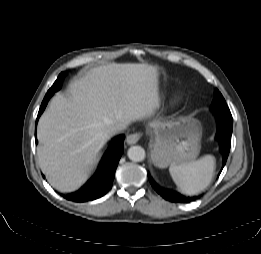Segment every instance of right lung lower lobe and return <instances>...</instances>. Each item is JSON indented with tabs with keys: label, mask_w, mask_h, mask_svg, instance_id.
Here are the masks:
<instances>
[{
	"label": "right lung lower lobe",
	"mask_w": 261,
	"mask_h": 254,
	"mask_svg": "<svg viewBox=\"0 0 261 254\" xmlns=\"http://www.w3.org/2000/svg\"><path fill=\"white\" fill-rule=\"evenodd\" d=\"M65 73L62 72L55 83L53 84V89H49L47 94L44 97V100L39 109L38 117L44 111L49 99L61 88V84ZM37 142V139H36ZM123 144H124V135L116 137L111 144L109 145L107 151L103 155L99 166L95 174L84 184L78 191L64 195L68 200L75 202H85L88 200L97 199L104 194H106L112 187V183L115 176V171L119 162L121 155L123 154Z\"/></svg>",
	"instance_id": "obj_1"
}]
</instances>
